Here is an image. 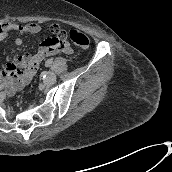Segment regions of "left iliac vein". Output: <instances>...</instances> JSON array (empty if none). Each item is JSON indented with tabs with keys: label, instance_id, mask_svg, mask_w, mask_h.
Returning <instances> with one entry per match:
<instances>
[{
	"label": "left iliac vein",
	"instance_id": "obj_1",
	"mask_svg": "<svg viewBox=\"0 0 172 172\" xmlns=\"http://www.w3.org/2000/svg\"><path fill=\"white\" fill-rule=\"evenodd\" d=\"M47 79L50 81V82H53V81H55V79H56V76H55V74L54 73H52V72H48V75H47Z\"/></svg>",
	"mask_w": 172,
	"mask_h": 172
}]
</instances>
